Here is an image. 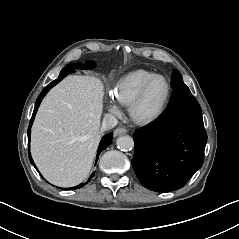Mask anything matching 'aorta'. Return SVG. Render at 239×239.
<instances>
[{"label": "aorta", "instance_id": "aorta-1", "mask_svg": "<svg viewBox=\"0 0 239 239\" xmlns=\"http://www.w3.org/2000/svg\"><path fill=\"white\" fill-rule=\"evenodd\" d=\"M116 145L121 150H131L134 147V141L129 135L120 136L116 140Z\"/></svg>", "mask_w": 239, "mask_h": 239}]
</instances>
